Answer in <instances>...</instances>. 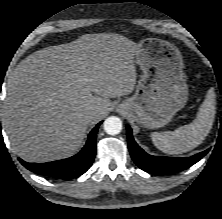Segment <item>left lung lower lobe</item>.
Listing matches in <instances>:
<instances>
[{"label":"left lung lower lobe","instance_id":"left-lung-lower-lobe-1","mask_svg":"<svg viewBox=\"0 0 222 219\" xmlns=\"http://www.w3.org/2000/svg\"><path fill=\"white\" fill-rule=\"evenodd\" d=\"M127 135L128 149L132 159L140 169L150 174L177 173L185 170L198 162L208 152V150H206L186 158L152 156L137 145L133 139L132 130L129 126H127Z\"/></svg>","mask_w":222,"mask_h":219}]
</instances>
